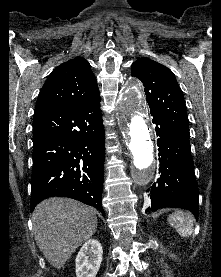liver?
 <instances>
[{
  "mask_svg": "<svg viewBox=\"0 0 221 277\" xmlns=\"http://www.w3.org/2000/svg\"><path fill=\"white\" fill-rule=\"evenodd\" d=\"M33 233L46 260L60 269L97 229L94 208L68 198H48L33 212Z\"/></svg>",
  "mask_w": 221,
  "mask_h": 277,
  "instance_id": "1",
  "label": "liver"
}]
</instances>
